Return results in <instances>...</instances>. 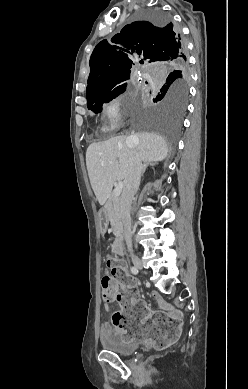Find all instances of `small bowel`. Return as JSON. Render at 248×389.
<instances>
[{
  "mask_svg": "<svg viewBox=\"0 0 248 389\" xmlns=\"http://www.w3.org/2000/svg\"><path fill=\"white\" fill-rule=\"evenodd\" d=\"M155 298H157L159 301H160V308L164 311H170L171 315L173 316H178L180 315V311L178 310H172L171 309V305L167 302H164L160 299L159 295L158 294H153ZM105 300V303H104V309L106 311H109L110 310V304L113 303V302H118L116 300H108V299H104ZM112 331L111 330V325L109 322H105L103 323L102 325V332H110ZM121 334H123L121 331H120Z\"/></svg>",
  "mask_w": 248,
  "mask_h": 389,
  "instance_id": "small-bowel-1",
  "label": "small bowel"
}]
</instances>
